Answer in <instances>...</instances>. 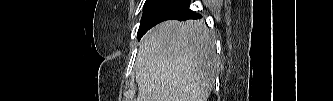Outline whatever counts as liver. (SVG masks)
<instances>
[{
	"label": "liver",
	"instance_id": "1",
	"mask_svg": "<svg viewBox=\"0 0 333 101\" xmlns=\"http://www.w3.org/2000/svg\"><path fill=\"white\" fill-rule=\"evenodd\" d=\"M139 46L137 101H207L220 62L203 21H165Z\"/></svg>",
	"mask_w": 333,
	"mask_h": 101
}]
</instances>
